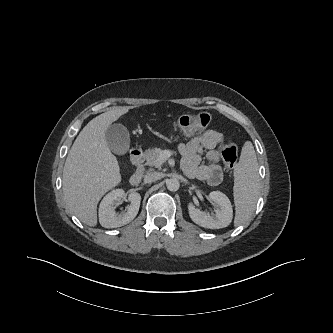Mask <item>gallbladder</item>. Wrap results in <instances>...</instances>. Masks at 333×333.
<instances>
[{
    "instance_id": "obj_1",
    "label": "gallbladder",
    "mask_w": 333,
    "mask_h": 333,
    "mask_svg": "<svg viewBox=\"0 0 333 333\" xmlns=\"http://www.w3.org/2000/svg\"><path fill=\"white\" fill-rule=\"evenodd\" d=\"M105 139L108 147L114 154L124 155L129 150V132L122 124H111L105 132Z\"/></svg>"
}]
</instances>
